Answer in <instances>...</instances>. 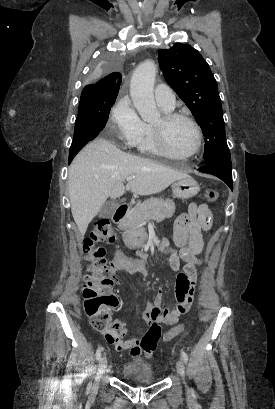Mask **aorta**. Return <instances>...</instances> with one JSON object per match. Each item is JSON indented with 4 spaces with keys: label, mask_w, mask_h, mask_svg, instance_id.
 <instances>
[{
    "label": "aorta",
    "mask_w": 275,
    "mask_h": 409,
    "mask_svg": "<svg viewBox=\"0 0 275 409\" xmlns=\"http://www.w3.org/2000/svg\"><path fill=\"white\" fill-rule=\"evenodd\" d=\"M156 64L154 60H144L133 72L130 84V94L133 104L143 120H157L160 112L154 98V80Z\"/></svg>",
    "instance_id": "obj_1"
}]
</instances>
